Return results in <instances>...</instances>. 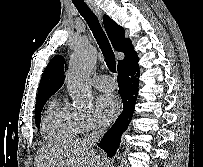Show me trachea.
Instances as JSON below:
<instances>
[{"label":"trachea","instance_id":"trachea-1","mask_svg":"<svg viewBox=\"0 0 203 167\" xmlns=\"http://www.w3.org/2000/svg\"><path fill=\"white\" fill-rule=\"evenodd\" d=\"M75 7L82 15V17L87 22L90 30L92 31L101 51L104 56L107 67L112 73L116 72V60L114 52L111 48L109 40L99 23L97 16L92 12V10L83 2L75 3Z\"/></svg>","mask_w":203,"mask_h":167}]
</instances>
